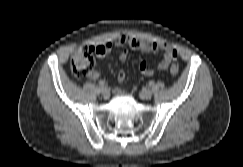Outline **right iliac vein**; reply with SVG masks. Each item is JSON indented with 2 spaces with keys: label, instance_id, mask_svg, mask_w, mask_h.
<instances>
[{
  "label": "right iliac vein",
  "instance_id": "obj_1",
  "mask_svg": "<svg viewBox=\"0 0 243 167\" xmlns=\"http://www.w3.org/2000/svg\"><path fill=\"white\" fill-rule=\"evenodd\" d=\"M100 93L104 98H108L110 95V91L107 87H101L100 88Z\"/></svg>",
  "mask_w": 243,
  "mask_h": 167
}]
</instances>
